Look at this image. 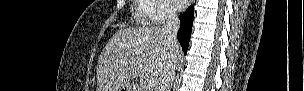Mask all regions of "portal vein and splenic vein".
I'll return each mask as SVG.
<instances>
[{
  "instance_id": "portal-vein-and-splenic-vein-1",
  "label": "portal vein and splenic vein",
  "mask_w": 304,
  "mask_h": 91,
  "mask_svg": "<svg viewBox=\"0 0 304 91\" xmlns=\"http://www.w3.org/2000/svg\"><path fill=\"white\" fill-rule=\"evenodd\" d=\"M157 84H158V79L157 78H154V77L149 78V80H148V86L149 87H154Z\"/></svg>"
}]
</instances>
